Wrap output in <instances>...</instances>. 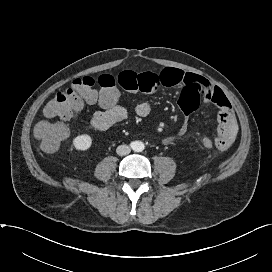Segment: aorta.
<instances>
[{
  "mask_svg": "<svg viewBox=\"0 0 272 272\" xmlns=\"http://www.w3.org/2000/svg\"><path fill=\"white\" fill-rule=\"evenodd\" d=\"M144 148H145L144 143L141 141H136L133 144V150L136 152H141L144 150Z\"/></svg>",
  "mask_w": 272,
  "mask_h": 272,
  "instance_id": "762f6f07",
  "label": "aorta"
}]
</instances>
